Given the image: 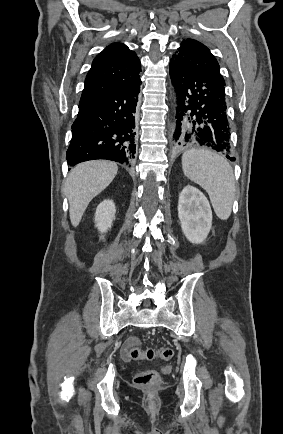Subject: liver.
I'll use <instances>...</instances> for the list:
<instances>
[{
  "label": "liver",
  "mask_w": 283,
  "mask_h": 434,
  "mask_svg": "<svg viewBox=\"0 0 283 434\" xmlns=\"http://www.w3.org/2000/svg\"><path fill=\"white\" fill-rule=\"evenodd\" d=\"M117 171V165L108 161H88L71 170L64 194L69 201V215L74 227L79 225L90 201L113 181Z\"/></svg>",
  "instance_id": "6515ba94"
}]
</instances>
